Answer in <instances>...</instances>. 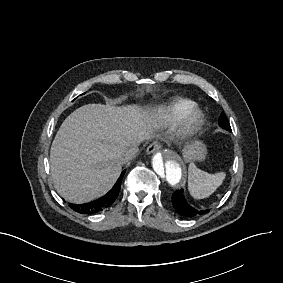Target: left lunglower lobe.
Masks as SVG:
<instances>
[{
	"instance_id": "obj_1",
	"label": "left lung lower lobe",
	"mask_w": 283,
	"mask_h": 283,
	"mask_svg": "<svg viewBox=\"0 0 283 283\" xmlns=\"http://www.w3.org/2000/svg\"><path fill=\"white\" fill-rule=\"evenodd\" d=\"M218 122H219L220 127L231 132L230 124H229L228 119H227V117L224 113H221ZM183 191H184L183 189L177 190L172 195L173 206L179 214H181L185 217L191 218V217H194L198 214L202 215V214L209 212V210L198 211V210H195L194 208H192L191 206H189L187 204L185 198H184Z\"/></svg>"
}]
</instances>
